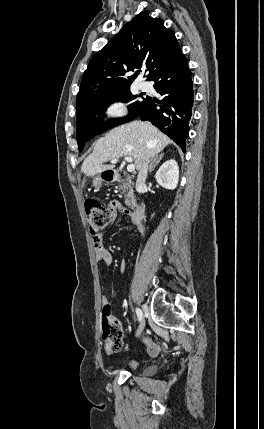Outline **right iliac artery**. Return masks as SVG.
Segmentation results:
<instances>
[{
    "instance_id": "1",
    "label": "right iliac artery",
    "mask_w": 264,
    "mask_h": 429,
    "mask_svg": "<svg viewBox=\"0 0 264 429\" xmlns=\"http://www.w3.org/2000/svg\"><path fill=\"white\" fill-rule=\"evenodd\" d=\"M136 314H137V317H138V320L139 321H141L142 320V318H143V314H142V311L139 309V308H136Z\"/></svg>"
}]
</instances>
